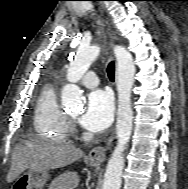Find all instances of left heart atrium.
Instances as JSON below:
<instances>
[{
	"instance_id": "39dd6f15",
	"label": "left heart atrium",
	"mask_w": 188,
	"mask_h": 189,
	"mask_svg": "<svg viewBox=\"0 0 188 189\" xmlns=\"http://www.w3.org/2000/svg\"><path fill=\"white\" fill-rule=\"evenodd\" d=\"M114 102L111 93L105 89H97L88 95L86 109L79 121L88 130L101 132L112 122Z\"/></svg>"
}]
</instances>
